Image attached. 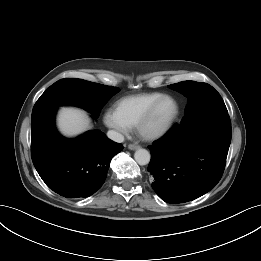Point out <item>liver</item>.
Returning <instances> with one entry per match:
<instances>
[{"label": "liver", "instance_id": "6515ba94", "mask_svg": "<svg viewBox=\"0 0 261 261\" xmlns=\"http://www.w3.org/2000/svg\"><path fill=\"white\" fill-rule=\"evenodd\" d=\"M57 125L65 136H76L90 129V119L83 110L64 107L60 110Z\"/></svg>", "mask_w": 261, "mask_h": 261}]
</instances>
